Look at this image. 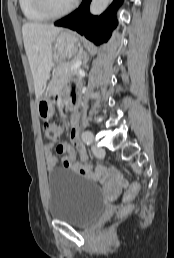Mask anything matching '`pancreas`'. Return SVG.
Returning <instances> with one entry per match:
<instances>
[{"label": "pancreas", "instance_id": "cf45deb5", "mask_svg": "<svg viewBox=\"0 0 174 258\" xmlns=\"http://www.w3.org/2000/svg\"><path fill=\"white\" fill-rule=\"evenodd\" d=\"M78 59L79 58L77 57L71 61L60 63L57 66L54 74L52 90L65 83L72 76L77 75V70H70V67L74 65Z\"/></svg>", "mask_w": 174, "mask_h": 258}]
</instances>
